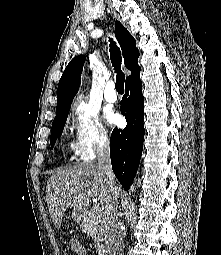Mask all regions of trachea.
Here are the masks:
<instances>
[{
  "label": "trachea",
  "mask_w": 221,
  "mask_h": 255,
  "mask_svg": "<svg viewBox=\"0 0 221 255\" xmlns=\"http://www.w3.org/2000/svg\"><path fill=\"white\" fill-rule=\"evenodd\" d=\"M110 58L112 65L115 69L116 75V83L115 88L118 93L124 92V81H125V75L121 71V54L119 48L116 46V43L111 41L110 43Z\"/></svg>",
  "instance_id": "3493384b"
}]
</instances>
